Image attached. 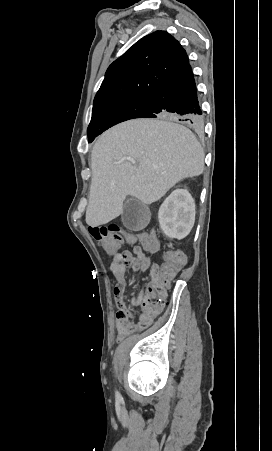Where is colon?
Segmentation results:
<instances>
[{
	"label": "colon",
	"mask_w": 272,
	"mask_h": 451,
	"mask_svg": "<svg viewBox=\"0 0 272 451\" xmlns=\"http://www.w3.org/2000/svg\"><path fill=\"white\" fill-rule=\"evenodd\" d=\"M89 231L92 237L101 246L105 248V254L112 256L114 250L123 249L125 244L122 241L123 230L117 225H101L96 227H90ZM156 236L155 232H151L150 235L145 237L146 247L153 249L152 253L156 254L157 242L154 240ZM136 244H142L144 237L142 235H136L134 237ZM118 258H114L111 261L110 268L114 271H119L121 267L130 269H144L148 267V258H137L132 252L121 251L118 253ZM166 262L162 263V267H155V270L151 272V277L148 282L149 288H141V294L137 295V302L140 303V310H157L163 305V303H169L170 296L167 294V289L171 286L173 279V271H184L185 264L183 260L186 258V253L180 251L178 247H168L164 253ZM122 265V266H121ZM122 325L120 327V337H125L128 330H132L130 324L125 321L127 315L122 312ZM149 324L148 321H141L136 329H144Z\"/></svg>",
	"instance_id": "5ec220e1"
}]
</instances>
